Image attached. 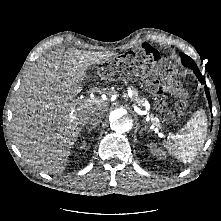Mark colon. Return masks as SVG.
I'll return each instance as SVG.
<instances>
[{
  "instance_id": "1",
  "label": "colon",
  "mask_w": 221,
  "mask_h": 221,
  "mask_svg": "<svg viewBox=\"0 0 221 221\" xmlns=\"http://www.w3.org/2000/svg\"><path fill=\"white\" fill-rule=\"evenodd\" d=\"M154 49L148 47L146 51H137L135 56L142 60L141 65L138 67L139 71L146 72L147 67L156 63L157 59L154 57ZM135 71V67H127L124 63L117 64L116 62L104 63L99 66L98 74L104 79H116L124 75H131ZM179 109H183L185 107V103L183 100H179L177 104Z\"/></svg>"
}]
</instances>
